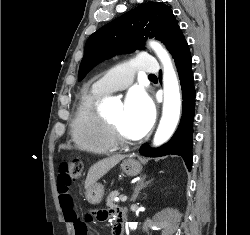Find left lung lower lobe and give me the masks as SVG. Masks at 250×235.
I'll use <instances>...</instances> for the list:
<instances>
[{
  "label": "left lung lower lobe",
  "mask_w": 250,
  "mask_h": 235,
  "mask_svg": "<svg viewBox=\"0 0 250 235\" xmlns=\"http://www.w3.org/2000/svg\"><path fill=\"white\" fill-rule=\"evenodd\" d=\"M170 53L175 59L181 83L183 107L178 129L171 140L157 148L150 149L148 144L141 147L140 153L146 157H160L169 154L180 155L189 171L192 167V134L195 116V88L191 69V54L181 31L178 32Z\"/></svg>",
  "instance_id": "obj_1"
}]
</instances>
